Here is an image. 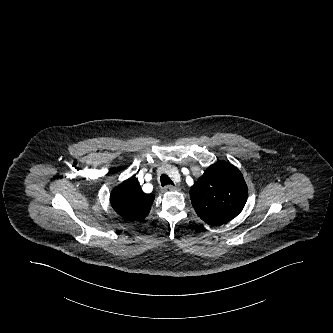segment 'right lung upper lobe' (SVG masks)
Wrapping results in <instances>:
<instances>
[{"instance_id":"1","label":"right lung upper lobe","mask_w":333,"mask_h":333,"mask_svg":"<svg viewBox=\"0 0 333 333\" xmlns=\"http://www.w3.org/2000/svg\"><path fill=\"white\" fill-rule=\"evenodd\" d=\"M153 201L154 195L144 193L134 177L115 187L110 195L113 209L130 221H138L145 218L151 209Z\"/></svg>"}]
</instances>
